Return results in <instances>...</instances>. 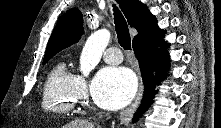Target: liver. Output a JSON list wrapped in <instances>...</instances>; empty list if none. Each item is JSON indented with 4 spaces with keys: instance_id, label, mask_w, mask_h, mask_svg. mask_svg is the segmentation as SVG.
<instances>
[{
    "instance_id": "1",
    "label": "liver",
    "mask_w": 221,
    "mask_h": 128,
    "mask_svg": "<svg viewBox=\"0 0 221 128\" xmlns=\"http://www.w3.org/2000/svg\"><path fill=\"white\" fill-rule=\"evenodd\" d=\"M63 128H94V125L87 120L76 119L65 125Z\"/></svg>"
}]
</instances>
